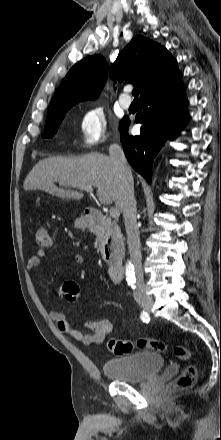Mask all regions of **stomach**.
<instances>
[{
    "label": "stomach",
    "mask_w": 221,
    "mask_h": 440,
    "mask_svg": "<svg viewBox=\"0 0 221 440\" xmlns=\"http://www.w3.org/2000/svg\"><path fill=\"white\" fill-rule=\"evenodd\" d=\"M75 227L79 229H85L89 226L90 221L86 217H80L75 220Z\"/></svg>",
    "instance_id": "0dacf381"
}]
</instances>
